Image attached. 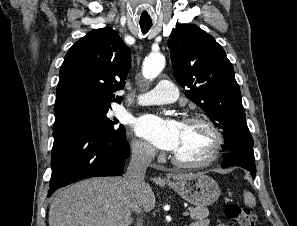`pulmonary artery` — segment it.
I'll return each instance as SVG.
<instances>
[{
  "mask_svg": "<svg viewBox=\"0 0 297 226\" xmlns=\"http://www.w3.org/2000/svg\"><path fill=\"white\" fill-rule=\"evenodd\" d=\"M176 86L169 80H161L156 87L146 94L138 96L139 105H161L173 103L178 99Z\"/></svg>",
  "mask_w": 297,
  "mask_h": 226,
  "instance_id": "e3ab8cb5",
  "label": "pulmonary artery"
}]
</instances>
